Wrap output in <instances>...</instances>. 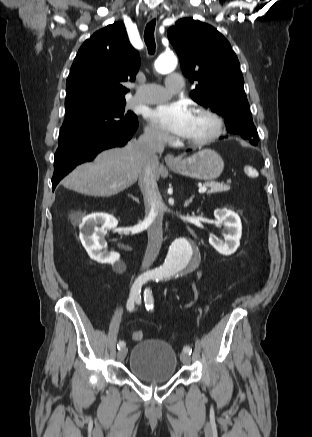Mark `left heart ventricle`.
<instances>
[{"label":"left heart ventricle","mask_w":312,"mask_h":437,"mask_svg":"<svg viewBox=\"0 0 312 437\" xmlns=\"http://www.w3.org/2000/svg\"><path fill=\"white\" fill-rule=\"evenodd\" d=\"M212 127L211 121L201 115L193 113L190 130L184 140L195 139L208 133Z\"/></svg>","instance_id":"left-heart-ventricle-1"}]
</instances>
